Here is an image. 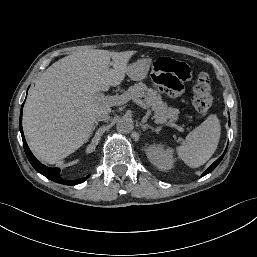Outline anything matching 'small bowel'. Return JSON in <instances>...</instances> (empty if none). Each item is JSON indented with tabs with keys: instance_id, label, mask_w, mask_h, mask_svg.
I'll return each mask as SVG.
<instances>
[{
	"instance_id": "obj_1",
	"label": "small bowel",
	"mask_w": 257,
	"mask_h": 257,
	"mask_svg": "<svg viewBox=\"0 0 257 257\" xmlns=\"http://www.w3.org/2000/svg\"><path fill=\"white\" fill-rule=\"evenodd\" d=\"M150 74L147 78L148 85L170 99L181 97L192 82L190 66L168 56L155 58L150 65Z\"/></svg>"
}]
</instances>
